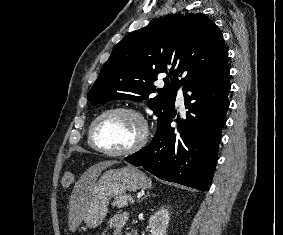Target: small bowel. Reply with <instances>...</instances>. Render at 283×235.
<instances>
[{"label": "small bowel", "mask_w": 283, "mask_h": 235, "mask_svg": "<svg viewBox=\"0 0 283 235\" xmlns=\"http://www.w3.org/2000/svg\"><path fill=\"white\" fill-rule=\"evenodd\" d=\"M128 220V215L126 213H119L114 215L109 221V226L112 235H120L123 226Z\"/></svg>", "instance_id": "obj_1"}]
</instances>
